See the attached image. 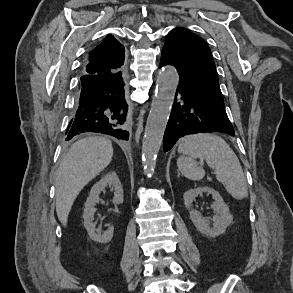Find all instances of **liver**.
Listing matches in <instances>:
<instances>
[{"label":"liver","instance_id":"6515ba94","mask_svg":"<svg viewBox=\"0 0 293 293\" xmlns=\"http://www.w3.org/2000/svg\"><path fill=\"white\" fill-rule=\"evenodd\" d=\"M113 147L104 137H87L74 143L56 173V213L67 225L72 205L81 190L111 162Z\"/></svg>","mask_w":293,"mask_h":293}]
</instances>
